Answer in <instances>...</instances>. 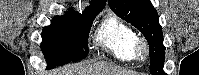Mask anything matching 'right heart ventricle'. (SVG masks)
Instances as JSON below:
<instances>
[{"label": "right heart ventricle", "instance_id": "obj_1", "mask_svg": "<svg viewBox=\"0 0 199 75\" xmlns=\"http://www.w3.org/2000/svg\"><path fill=\"white\" fill-rule=\"evenodd\" d=\"M135 34L131 27L118 17H108L97 32V40L116 58L122 61L134 59L133 42Z\"/></svg>", "mask_w": 199, "mask_h": 75}]
</instances>
